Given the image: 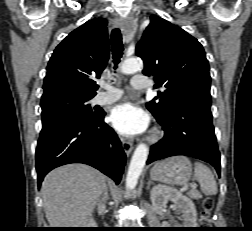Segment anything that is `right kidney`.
Listing matches in <instances>:
<instances>
[{"mask_svg":"<svg viewBox=\"0 0 252 231\" xmlns=\"http://www.w3.org/2000/svg\"><path fill=\"white\" fill-rule=\"evenodd\" d=\"M87 224H88L87 227H89V228H95L96 227V223L91 218L88 220Z\"/></svg>","mask_w":252,"mask_h":231,"instance_id":"ca27d5eb","label":"right kidney"}]
</instances>
